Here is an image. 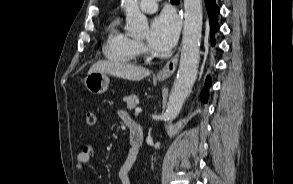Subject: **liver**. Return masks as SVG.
<instances>
[{
    "instance_id": "6515ba94",
    "label": "liver",
    "mask_w": 293,
    "mask_h": 184,
    "mask_svg": "<svg viewBox=\"0 0 293 184\" xmlns=\"http://www.w3.org/2000/svg\"><path fill=\"white\" fill-rule=\"evenodd\" d=\"M93 72L108 73L131 81H140L150 75V71L144 67L116 61H98L91 66L88 73Z\"/></svg>"
}]
</instances>
